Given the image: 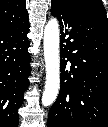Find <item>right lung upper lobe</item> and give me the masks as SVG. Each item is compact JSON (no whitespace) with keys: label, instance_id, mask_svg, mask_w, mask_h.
I'll list each match as a JSON object with an SVG mask.
<instances>
[{"label":"right lung upper lobe","instance_id":"cb5924a9","mask_svg":"<svg viewBox=\"0 0 108 127\" xmlns=\"http://www.w3.org/2000/svg\"><path fill=\"white\" fill-rule=\"evenodd\" d=\"M28 22L25 0L0 1V32L20 28Z\"/></svg>","mask_w":108,"mask_h":127}]
</instances>
